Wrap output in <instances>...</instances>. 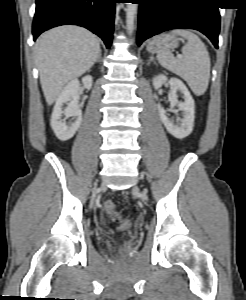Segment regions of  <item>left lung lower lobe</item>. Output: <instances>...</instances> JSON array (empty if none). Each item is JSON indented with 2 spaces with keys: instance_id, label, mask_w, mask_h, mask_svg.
<instances>
[{
  "instance_id": "obj_1",
  "label": "left lung lower lobe",
  "mask_w": 246,
  "mask_h": 300,
  "mask_svg": "<svg viewBox=\"0 0 246 300\" xmlns=\"http://www.w3.org/2000/svg\"><path fill=\"white\" fill-rule=\"evenodd\" d=\"M140 4L138 46L163 31L195 29L205 34L218 48L220 14L216 0H135Z\"/></svg>"
}]
</instances>
